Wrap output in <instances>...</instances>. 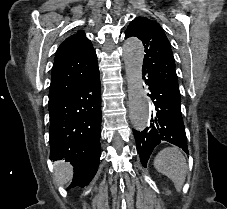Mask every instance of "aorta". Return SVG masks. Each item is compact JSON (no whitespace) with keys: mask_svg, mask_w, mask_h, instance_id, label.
Here are the masks:
<instances>
[{"mask_svg":"<svg viewBox=\"0 0 227 209\" xmlns=\"http://www.w3.org/2000/svg\"><path fill=\"white\" fill-rule=\"evenodd\" d=\"M123 57L128 77L130 119L134 129L144 130L149 123V104L143 88L142 65L144 47L137 38H130L123 45Z\"/></svg>","mask_w":227,"mask_h":209,"instance_id":"1","label":"aorta"}]
</instances>
